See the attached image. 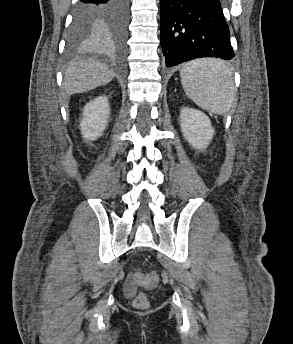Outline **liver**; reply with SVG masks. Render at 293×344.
Instances as JSON below:
<instances>
[{
	"instance_id": "1",
	"label": "liver",
	"mask_w": 293,
	"mask_h": 344,
	"mask_svg": "<svg viewBox=\"0 0 293 344\" xmlns=\"http://www.w3.org/2000/svg\"><path fill=\"white\" fill-rule=\"evenodd\" d=\"M114 73L105 64L93 59L71 63L64 75V89L68 94L84 93L112 81Z\"/></svg>"
}]
</instances>
